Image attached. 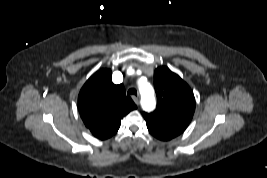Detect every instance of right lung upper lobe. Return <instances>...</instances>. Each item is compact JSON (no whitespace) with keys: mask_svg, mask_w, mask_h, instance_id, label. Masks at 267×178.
Segmentation results:
<instances>
[{"mask_svg":"<svg viewBox=\"0 0 267 178\" xmlns=\"http://www.w3.org/2000/svg\"><path fill=\"white\" fill-rule=\"evenodd\" d=\"M111 75L110 69H100L86 81L78 96L81 119L100 140L114 135L121 119L137 108L123 85L112 82Z\"/></svg>","mask_w":267,"mask_h":178,"instance_id":"cb5924a9","label":"right lung upper lobe"}]
</instances>
